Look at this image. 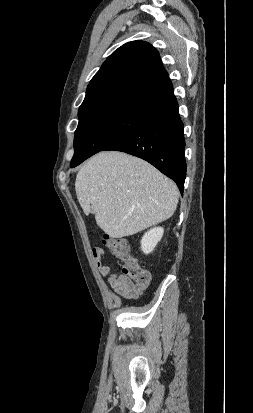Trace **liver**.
<instances>
[{
	"mask_svg": "<svg viewBox=\"0 0 253 413\" xmlns=\"http://www.w3.org/2000/svg\"><path fill=\"white\" fill-rule=\"evenodd\" d=\"M75 190L86 215L109 236L122 238L170 218L176 184L148 162L126 153L100 152L79 170Z\"/></svg>",
	"mask_w": 253,
	"mask_h": 413,
	"instance_id": "6515ba94",
	"label": "liver"
}]
</instances>
